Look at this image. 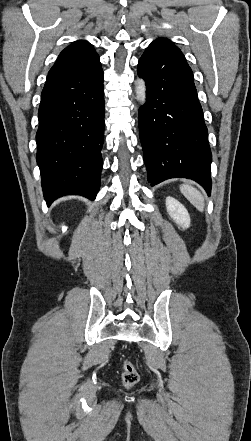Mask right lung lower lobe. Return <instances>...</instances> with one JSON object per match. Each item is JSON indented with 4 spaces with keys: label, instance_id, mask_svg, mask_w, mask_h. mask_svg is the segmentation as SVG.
<instances>
[{
    "label": "right lung lower lobe",
    "instance_id": "98d812e1",
    "mask_svg": "<svg viewBox=\"0 0 251 441\" xmlns=\"http://www.w3.org/2000/svg\"><path fill=\"white\" fill-rule=\"evenodd\" d=\"M104 113L101 65L86 72L48 74L36 134L48 205L67 194L95 199L103 165Z\"/></svg>",
    "mask_w": 251,
    "mask_h": 441
}]
</instances>
